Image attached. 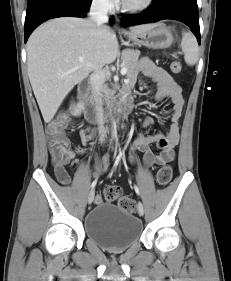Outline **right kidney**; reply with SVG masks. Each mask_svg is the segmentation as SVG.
<instances>
[{"label":"right kidney","instance_id":"ca27d5eb","mask_svg":"<svg viewBox=\"0 0 231 281\" xmlns=\"http://www.w3.org/2000/svg\"><path fill=\"white\" fill-rule=\"evenodd\" d=\"M83 108V105L82 104H78L77 106H73L72 109H73V114L74 115H77L81 112V109Z\"/></svg>","mask_w":231,"mask_h":281}]
</instances>
